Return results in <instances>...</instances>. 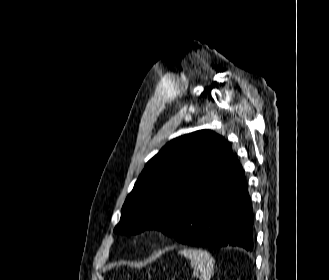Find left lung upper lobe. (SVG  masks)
<instances>
[{
  "mask_svg": "<svg viewBox=\"0 0 329 280\" xmlns=\"http://www.w3.org/2000/svg\"><path fill=\"white\" fill-rule=\"evenodd\" d=\"M235 159L220 135L200 130L167 143L148 161L127 196L115 233L157 228L167 233L214 193Z\"/></svg>",
  "mask_w": 329,
  "mask_h": 280,
  "instance_id": "1",
  "label": "left lung upper lobe"
}]
</instances>
